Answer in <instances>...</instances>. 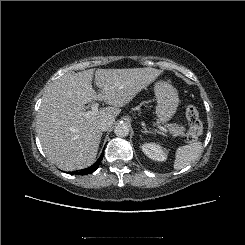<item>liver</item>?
I'll list each match as a JSON object with an SVG mask.
<instances>
[{
    "label": "liver",
    "mask_w": 245,
    "mask_h": 245,
    "mask_svg": "<svg viewBox=\"0 0 245 245\" xmlns=\"http://www.w3.org/2000/svg\"><path fill=\"white\" fill-rule=\"evenodd\" d=\"M162 73L146 68L97 69L67 73L53 82L43 95L37 118L39 139L48 159L58 168L74 171L89 167L96 159L102 132L99 122L115 119L129 103ZM101 89L97 94L92 78ZM93 100L112 107L86 118L80 115Z\"/></svg>",
    "instance_id": "obj_1"
}]
</instances>
